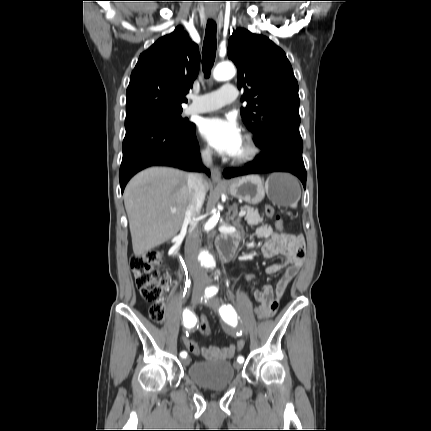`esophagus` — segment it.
<instances>
[{"label": "esophagus", "instance_id": "34e87169", "mask_svg": "<svg viewBox=\"0 0 431 431\" xmlns=\"http://www.w3.org/2000/svg\"><path fill=\"white\" fill-rule=\"evenodd\" d=\"M211 176H212V179L215 182L225 183V181L222 179L221 171H220V169L218 167H213L212 168V170H211Z\"/></svg>", "mask_w": 431, "mask_h": 431}]
</instances>
